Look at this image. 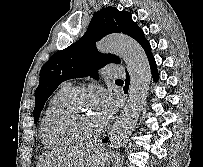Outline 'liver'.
<instances>
[{"mask_svg": "<svg viewBox=\"0 0 203 167\" xmlns=\"http://www.w3.org/2000/svg\"><path fill=\"white\" fill-rule=\"evenodd\" d=\"M95 148L71 147L45 153L37 167H84Z\"/></svg>", "mask_w": 203, "mask_h": 167, "instance_id": "liver-1", "label": "liver"}]
</instances>
